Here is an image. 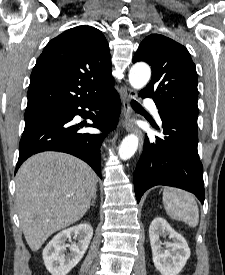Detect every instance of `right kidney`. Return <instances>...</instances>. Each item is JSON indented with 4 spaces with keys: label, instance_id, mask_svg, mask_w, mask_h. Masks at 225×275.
<instances>
[{
    "label": "right kidney",
    "instance_id": "obj_1",
    "mask_svg": "<svg viewBox=\"0 0 225 275\" xmlns=\"http://www.w3.org/2000/svg\"><path fill=\"white\" fill-rule=\"evenodd\" d=\"M92 236L93 229L87 223L70 227L58 233L43 250L42 255L46 269L52 275H67L82 259ZM71 237L77 242L69 245L66 242L71 240ZM67 248L70 253L65 255L64 251Z\"/></svg>",
    "mask_w": 225,
    "mask_h": 275
}]
</instances>
